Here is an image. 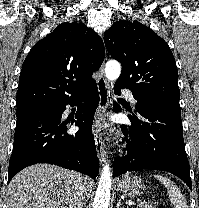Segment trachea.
Here are the masks:
<instances>
[{
	"label": "trachea",
	"instance_id": "3493384b",
	"mask_svg": "<svg viewBox=\"0 0 199 208\" xmlns=\"http://www.w3.org/2000/svg\"><path fill=\"white\" fill-rule=\"evenodd\" d=\"M118 100L122 101L123 99H120V98H119Z\"/></svg>",
	"mask_w": 199,
	"mask_h": 208
}]
</instances>
